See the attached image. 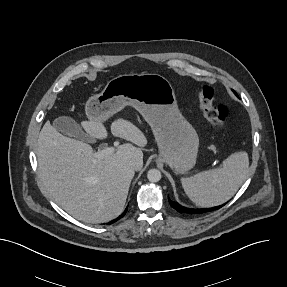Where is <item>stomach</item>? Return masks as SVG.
I'll list each match as a JSON object with an SVG mask.
<instances>
[{"instance_id": "0dacf381", "label": "stomach", "mask_w": 287, "mask_h": 287, "mask_svg": "<svg viewBox=\"0 0 287 287\" xmlns=\"http://www.w3.org/2000/svg\"><path fill=\"white\" fill-rule=\"evenodd\" d=\"M127 105L150 125L159 148L158 161L176 174L195 166L198 135L180 113L174 89L165 77L155 73L119 75L89 99L86 115L89 120L104 121Z\"/></svg>"}]
</instances>
